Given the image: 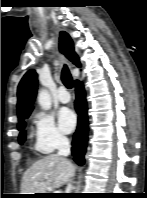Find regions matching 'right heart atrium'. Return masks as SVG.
<instances>
[{
  "mask_svg": "<svg viewBox=\"0 0 147 198\" xmlns=\"http://www.w3.org/2000/svg\"><path fill=\"white\" fill-rule=\"evenodd\" d=\"M32 119L35 149L40 153H51L67 142L66 136L58 128L52 115L36 112Z\"/></svg>",
  "mask_w": 147,
  "mask_h": 198,
  "instance_id": "1",
  "label": "right heart atrium"
}]
</instances>
